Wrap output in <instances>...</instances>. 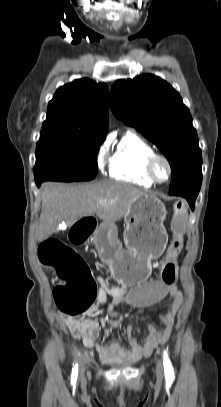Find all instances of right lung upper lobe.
<instances>
[{
	"mask_svg": "<svg viewBox=\"0 0 221 407\" xmlns=\"http://www.w3.org/2000/svg\"><path fill=\"white\" fill-rule=\"evenodd\" d=\"M108 87L79 79L60 87L48 104L41 134H68L104 141L108 129Z\"/></svg>",
	"mask_w": 221,
	"mask_h": 407,
	"instance_id": "right-lung-upper-lobe-1",
	"label": "right lung upper lobe"
}]
</instances>
